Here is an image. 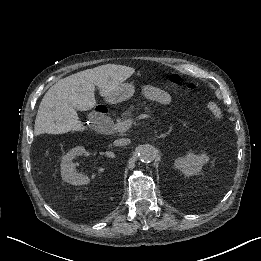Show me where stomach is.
Returning a JSON list of instances; mask_svg holds the SVG:
<instances>
[{"label":"stomach","instance_id":"0dacf381","mask_svg":"<svg viewBox=\"0 0 261 261\" xmlns=\"http://www.w3.org/2000/svg\"><path fill=\"white\" fill-rule=\"evenodd\" d=\"M134 93L135 86L133 84L123 83L106 97V101L111 104L120 103L132 97Z\"/></svg>","mask_w":261,"mask_h":261}]
</instances>
